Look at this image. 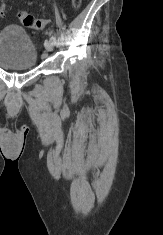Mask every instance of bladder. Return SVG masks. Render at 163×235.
Here are the masks:
<instances>
[{
  "instance_id": "1",
  "label": "bladder",
  "mask_w": 163,
  "mask_h": 235,
  "mask_svg": "<svg viewBox=\"0 0 163 235\" xmlns=\"http://www.w3.org/2000/svg\"><path fill=\"white\" fill-rule=\"evenodd\" d=\"M38 60V50L29 34L18 25H8L0 31V64L9 69H32Z\"/></svg>"
}]
</instances>
